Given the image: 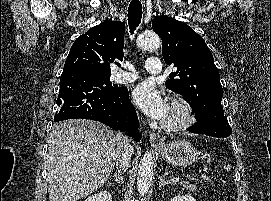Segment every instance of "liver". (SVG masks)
<instances>
[{
	"label": "liver",
	"mask_w": 271,
	"mask_h": 201,
	"mask_svg": "<svg viewBox=\"0 0 271 201\" xmlns=\"http://www.w3.org/2000/svg\"><path fill=\"white\" fill-rule=\"evenodd\" d=\"M118 150L116 133L99 122L71 119L55 124L46 161L49 200L78 201L97 191L110 175Z\"/></svg>",
	"instance_id": "obj_1"
}]
</instances>
